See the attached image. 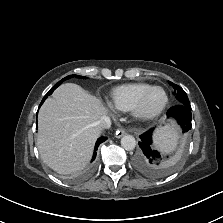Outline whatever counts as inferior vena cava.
<instances>
[{
    "instance_id": "602c4592",
    "label": "inferior vena cava",
    "mask_w": 223,
    "mask_h": 223,
    "mask_svg": "<svg viewBox=\"0 0 223 223\" xmlns=\"http://www.w3.org/2000/svg\"><path fill=\"white\" fill-rule=\"evenodd\" d=\"M95 127L101 132L104 129H109L111 127V121L109 117H102L100 120L95 122Z\"/></svg>"
}]
</instances>
